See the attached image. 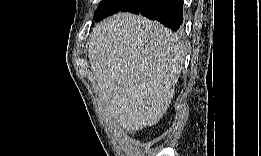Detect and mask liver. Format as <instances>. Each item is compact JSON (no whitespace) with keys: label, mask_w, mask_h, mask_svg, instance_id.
I'll return each instance as SVG.
<instances>
[{"label":"liver","mask_w":261,"mask_h":156,"mask_svg":"<svg viewBox=\"0 0 261 156\" xmlns=\"http://www.w3.org/2000/svg\"><path fill=\"white\" fill-rule=\"evenodd\" d=\"M88 44L107 114L131 132L158 123L183 68L178 37L157 21L119 12L93 28Z\"/></svg>","instance_id":"6515ba94"}]
</instances>
